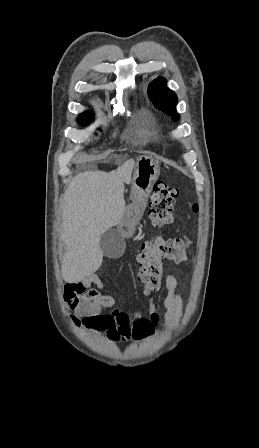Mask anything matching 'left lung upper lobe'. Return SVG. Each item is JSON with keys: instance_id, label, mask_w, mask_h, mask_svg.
<instances>
[{"instance_id": "obj_1", "label": "left lung upper lobe", "mask_w": 259, "mask_h": 448, "mask_svg": "<svg viewBox=\"0 0 259 448\" xmlns=\"http://www.w3.org/2000/svg\"><path fill=\"white\" fill-rule=\"evenodd\" d=\"M166 83L167 81L165 78L155 79L149 85L148 95L151 101L154 102L155 107L172 115L173 119L177 121L179 119V115L175 108L177 96L172 90L166 87Z\"/></svg>"}]
</instances>
